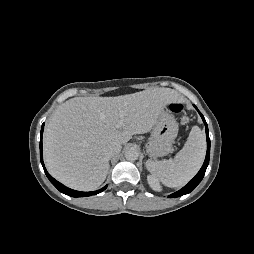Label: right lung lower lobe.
Masks as SVG:
<instances>
[{"instance_id": "1", "label": "right lung lower lobe", "mask_w": 254, "mask_h": 254, "mask_svg": "<svg viewBox=\"0 0 254 254\" xmlns=\"http://www.w3.org/2000/svg\"><path fill=\"white\" fill-rule=\"evenodd\" d=\"M43 129H44V124L42 125L41 128V140H40V159H41V164L43 166V169L45 171L46 176L48 177V179L50 180V182L63 194H66L68 196L71 197H85V196H91V195H96L100 192H102L103 190H105L107 188V186L103 187L102 189H99L97 191H91V192H80V191H75L72 190L66 186H64L63 184L59 183L58 181H56L46 170L44 163H43V155H42V134H43Z\"/></svg>"}]
</instances>
